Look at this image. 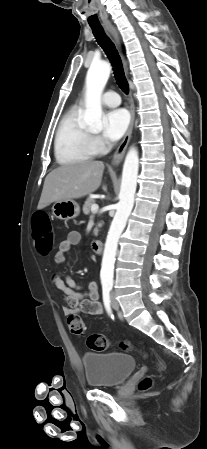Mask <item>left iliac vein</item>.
Returning <instances> with one entry per match:
<instances>
[{"instance_id":"obj_1","label":"left iliac vein","mask_w":207,"mask_h":449,"mask_svg":"<svg viewBox=\"0 0 207 449\" xmlns=\"http://www.w3.org/2000/svg\"><path fill=\"white\" fill-rule=\"evenodd\" d=\"M111 302H112V306H113L114 309H118L119 308L118 302L116 301L115 296H114L113 293L111 295Z\"/></svg>"}]
</instances>
